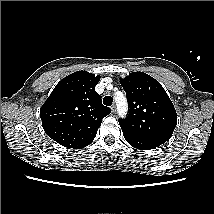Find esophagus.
<instances>
[{"label": "esophagus", "instance_id": "34e87169", "mask_svg": "<svg viewBox=\"0 0 214 214\" xmlns=\"http://www.w3.org/2000/svg\"><path fill=\"white\" fill-rule=\"evenodd\" d=\"M111 110H112L113 113L116 112V105H115V104H113V105L111 106Z\"/></svg>", "mask_w": 214, "mask_h": 214}]
</instances>
